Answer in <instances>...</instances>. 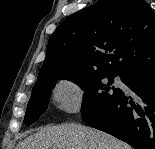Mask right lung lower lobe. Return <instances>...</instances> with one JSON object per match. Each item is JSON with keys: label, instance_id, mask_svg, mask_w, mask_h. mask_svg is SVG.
<instances>
[{"label": "right lung lower lobe", "instance_id": "right-lung-lower-lobe-1", "mask_svg": "<svg viewBox=\"0 0 155 149\" xmlns=\"http://www.w3.org/2000/svg\"><path fill=\"white\" fill-rule=\"evenodd\" d=\"M122 82L133 95L121 91L98 115L84 121L135 149H155V67L130 71Z\"/></svg>", "mask_w": 155, "mask_h": 149}]
</instances>
